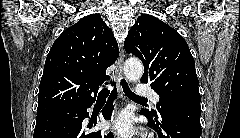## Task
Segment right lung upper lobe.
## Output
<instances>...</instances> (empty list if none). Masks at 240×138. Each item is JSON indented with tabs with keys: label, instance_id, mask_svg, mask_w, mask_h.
<instances>
[{
	"label": "right lung upper lobe",
	"instance_id": "1",
	"mask_svg": "<svg viewBox=\"0 0 240 138\" xmlns=\"http://www.w3.org/2000/svg\"><path fill=\"white\" fill-rule=\"evenodd\" d=\"M118 57L112 30L99 14L67 28L53 43L40 81L37 115L95 99Z\"/></svg>",
	"mask_w": 240,
	"mask_h": 138
}]
</instances>
